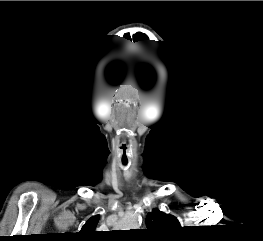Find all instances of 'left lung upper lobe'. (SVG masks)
<instances>
[{
  "label": "left lung upper lobe",
  "instance_id": "1",
  "mask_svg": "<svg viewBox=\"0 0 263 241\" xmlns=\"http://www.w3.org/2000/svg\"><path fill=\"white\" fill-rule=\"evenodd\" d=\"M148 231L174 238L181 228L176 217L166 214L158 209H153L146 217Z\"/></svg>",
  "mask_w": 263,
  "mask_h": 241
}]
</instances>
